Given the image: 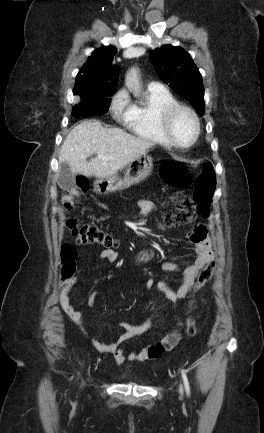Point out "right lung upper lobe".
I'll use <instances>...</instances> for the list:
<instances>
[{
  "label": "right lung upper lobe",
  "mask_w": 264,
  "mask_h": 433,
  "mask_svg": "<svg viewBox=\"0 0 264 433\" xmlns=\"http://www.w3.org/2000/svg\"><path fill=\"white\" fill-rule=\"evenodd\" d=\"M116 53L112 46L96 49L76 76L74 95L87 98L113 93L120 73L119 66L112 64Z\"/></svg>",
  "instance_id": "obj_1"
}]
</instances>
